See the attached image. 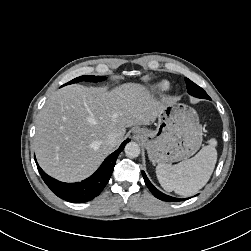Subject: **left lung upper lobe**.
<instances>
[{
    "mask_svg": "<svg viewBox=\"0 0 251 251\" xmlns=\"http://www.w3.org/2000/svg\"><path fill=\"white\" fill-rule=\"evenodd\" d=\"M186 81V88L187 91L190 95L197 97V98H203V99H209L211 100V98L207 95V93L198 85H196L195 83H193L191 80H189L188 78H185Z\"/></svg>",
    "mask_w": 251,
    "mask_h": 251,
    "instance_id": "1",
    "label": "left lung upper lobe"
}]
</instances>
